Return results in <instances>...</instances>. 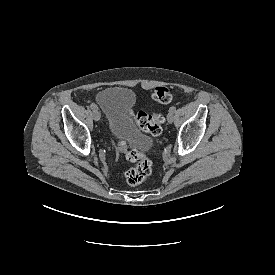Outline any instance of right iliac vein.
<instances>
[{
	"label": "right iliac vein",
	"instance_id": "obj_1",
	"mask_svg": "<svg viewBox=\"0 0 275 275\" xmlns=\"http://www.w3.org/2000/svg\"><path fill=\"white\" fill-rule=\"evenodd\" d=\"M92 115H93V118H94L95 121H99L100 120L101 115H100V113H99V111L97 109L93 110V114Z\"/></svg>",
	"mask_w": 275,
	"mask_h": 275
}]
</instances>
